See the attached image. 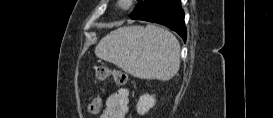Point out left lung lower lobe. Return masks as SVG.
Listing matches in <instances>:
<instances>
[{
  "mask_svg": "<svg viewBox=\"0 0 273 118\" xmlns=\"http://www.w3.org/2000/svg\"><path fill=\"white\" fill-rule=\"evenodd\" d=\"M141 20L158 23L177 32L186 41L187 31L184 22V11L181 0H165V2L153 13Z\"/></svg>",
  "mask_w": 273,
  "mask_h": 118,
  "instance_id": "1",
  "label": "left lung lower lobe"
}]
</instances>
